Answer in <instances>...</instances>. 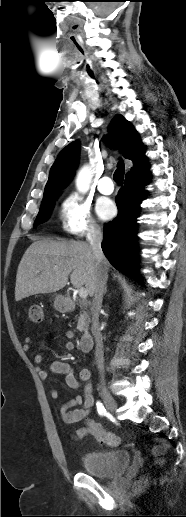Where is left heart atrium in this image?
Masks as SVG:
<instances>
[{
  "label": "left heart atrium",
  "instance_id": "1",
  "mask_svg": "<svg viewBox=\"0 0 186 517\" xmlns=\"http://www.w3.org/2000/svg\"><path fill=\"white\" fill-rule=\"evenodd\" d=\"M96 211L100 218H102L103 220H108L115 215L116 208L111 200L101 199L97 203Z\"/></svg>",
  "mask_w": 186,
  "mask_h": 517
}]
</instances>
